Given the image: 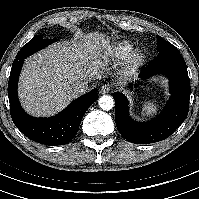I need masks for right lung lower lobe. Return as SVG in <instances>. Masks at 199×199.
Returning a JSON list of instances; mask_svg holds the SVG:
<instances>
[{"instance_id": "1", "label": "right lung lower lobe", "mask_w": 199, "mask_h": 199, "mask_svg": "<svg viewBox=\"0 0 199 199\" xmlns=\"http://www.w3.org/2000/svg\"><path fill=\"white\" fill-rule=\"evenodd\" d=\"M25 58L14 60L8 82L11 118L29 139L48 146L64 145L76 135L87 109L98 99L97 89L74 100L66 109L49 118H36L25 113L18 96L17 84Z\"/></svg>"}]
</instances>
